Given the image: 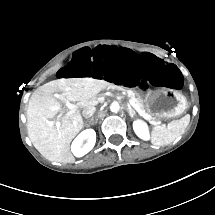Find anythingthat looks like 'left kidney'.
Listing matches in <instances>:
<instances>
[{
    "mask_svg": "<svg viewBox=\"0 0 215 215\" xmlns=\"http://www.w3.org/2000/svg\"><path fill=\"white\" fill-rule=\"evenodd\" d=\"M133 130L139 138L149 140L148 127L142 120H136L133 122Z\"/></svg>",
    "mask_w": 215,
    "mask_h": 215,
    "instance_id": "5707ae66",
    "label": "left kidney"
}]
</instances>
